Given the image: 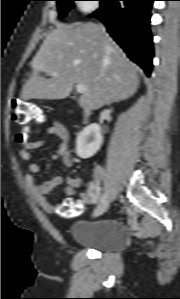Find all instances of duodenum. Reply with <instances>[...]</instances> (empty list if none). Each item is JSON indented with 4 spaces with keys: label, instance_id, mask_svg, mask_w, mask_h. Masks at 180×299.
<instances>
[{
    "label": "duodenum",
    "instance_id": "obj_1",
    "mask_svg": "<svg viewBox=\"0 0 180 299\" xmlns=\"http://www.w3.org/2000/svg\"><path fill=\"white\" fill-rule=\"evenodd\" d=\"M91 115V111L89 108H85L82 114V121L83 123H87Z\"/></svg>",
    "mask_w": 180,
    "mask_h": 299
}]
</instances>
